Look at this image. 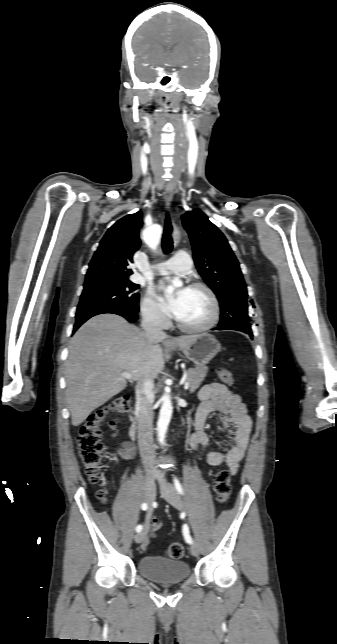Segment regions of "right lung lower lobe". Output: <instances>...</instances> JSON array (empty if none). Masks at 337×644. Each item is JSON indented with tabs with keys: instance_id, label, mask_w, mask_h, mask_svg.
I'll return each instance as SVG.
<instances>
[{
	"instance_id": "98d812e1",
	"label": "right lung lower lobe",
	"mask_w": 337,
	"mask_h": 644,
	"mask_svg": "<svg viewBox=\"0 0 337 644\" xmlns=\"http://www.w3.org/2000/svg\"><path fill=\"white\" fill-rule=\"evenodd\" d=\"M139 312V308L130 310V309H125V308H118V309H104L97 311L92 314H87L84 316H80L76 318V322L74 325L73 332H75L85 321H87L89 318L98 315V314H104V313H112V314H117L120 315L124 318H126L129 322H135L138 319L137 313Z\"/></svg>"
}]
</instances>
